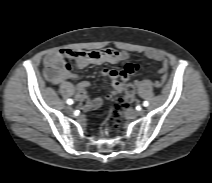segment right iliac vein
<instances>
[{
	"label": "right iliac vein",
	"instance_id": "63e3f726",
	"mask_svg": "<svg viewBox=\"0 0 212 183\" xmlns=\"http://www.w3.org/2000/svg\"><path fill=\"white\" fill-rule=\"evenodd\" d=\"M67 112L71 113L72 112V108L71 107H67Z\"/></svg>",
	"mask_w": 212,
	"mask_h": 183
}]
</instances>
